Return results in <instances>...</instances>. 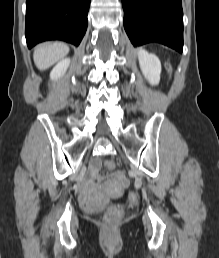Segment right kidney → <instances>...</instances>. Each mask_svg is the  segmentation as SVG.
Returning a JSON list of instances; mask_svg holds the SVG:
<instances>
[{"instance_id": "obj_1", "label": "right kidney", "mask_w": 219, "mask_h": 258, "mask_svg": "<svg viewBox=\"0 0 219 258\" xmlns=\"http://www.w3.org/2000/svg\"><path fill=\"white\" fill-rule=\"evenodd\" d=\"M70 64V59L69 58H64L62 60H60L55 67L52 69L51 73H50V78L52 80H57L60 77H62L67 68L69 67Z\"/></svg>"}]
</instances>
